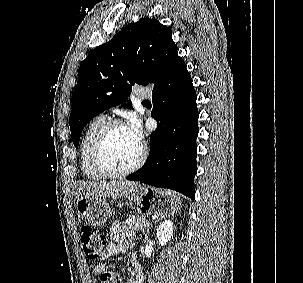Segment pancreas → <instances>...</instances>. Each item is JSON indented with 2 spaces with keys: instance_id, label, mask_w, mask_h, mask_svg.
Wrapping results in <instances>:
<instances>
[{
  "instance_id": "1",
  "label": "pancreas",
  "mask_w": 303,
  "mask_h": 283,
  "mask_svg": "<svg viewBox=\"0 0 303 283\" xmlns=\"http://www.w3.org/2000/svg\"><path fill=\"white\" fill-rule=\"evenodd\" d=\"M148 223V219L143 215H130L125 222H123V229L125 231L129 230H144L146 228V224Z\"/></svg>"
}]
</instances>
